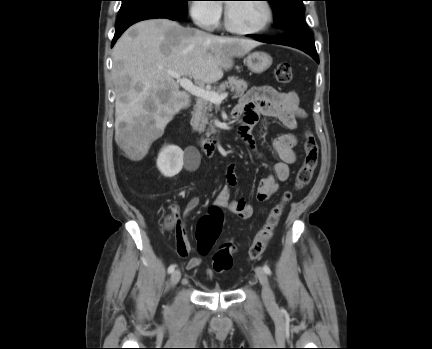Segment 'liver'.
I'll return each mask as SVG.
<instances>
[{
    "label": "liver",
    "mask_w": 432,
    "mask_h": 349,
    "mask_svg": "<svg viewBox=\"0 0 432 349\" xmlns=\"http://www.w3.org/2000/svg\"><path fill=\"white\" fill-rule=\"evenodd\" d=\"M260 43L220 37L153 19L130 27L113 48L115 141L132 161L142 160L167 124L190 104L168 71L211 84Z\"/></svg>",
    "instance_id": "1"
}]
</instances>
